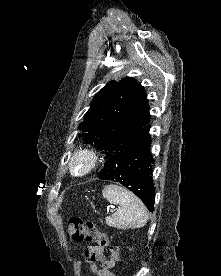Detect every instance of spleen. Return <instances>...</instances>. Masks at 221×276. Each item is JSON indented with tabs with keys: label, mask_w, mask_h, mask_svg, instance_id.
<instances>
[{
	"label": "spleen",
	"mask_w": 221,
	"mask_h": 276,
	"mask_svg": "<svg viewBox=\"0 0 221 276\" xmlns=\"http://www.w3.org/2000/svg\"><path fill=\"white\" fill-rule=\"evenodd\" d=\"M102 194L108 202L120 206L116 213L105 218L108 226L117 229H136L145 226L148 220L147 209L132 192L110 184L104 187Z\"/></svg>",
	"instance_id": "3e777b00"
}]
</instances>
